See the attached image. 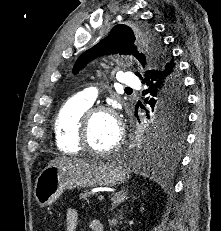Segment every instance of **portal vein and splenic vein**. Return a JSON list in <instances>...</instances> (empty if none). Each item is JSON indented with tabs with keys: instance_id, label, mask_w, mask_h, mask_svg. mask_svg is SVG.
Masks as SVG:
<instances>
[{
	"instance_id": "1",
	"label": "portal vein and splenic vein",
	"mask_w": 221,
	"mask_h": 231,
	"mask_svg": "<svg viewBox=\"0 0 221 231\" xmlns=\"http://www.w3.org/2000/svg\"><path fill=\"white\" fill-rule=\"evenodd\" d=\"M97 199H98V200H103V199H104V195H102V194L97 195Z\"/></svg>"
}]
</instances>
